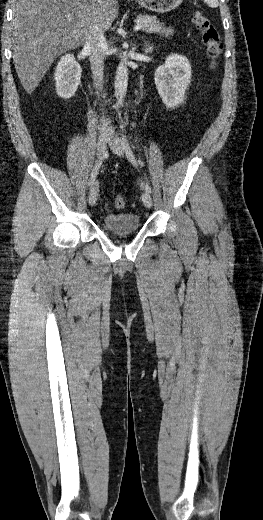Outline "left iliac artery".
I'll list each match as a JSON object with an SVG mask.
<instances>
[{"label": "left iliac artery", "mask_w": 263, "mask_h": 520, "mask_svg": "<svg viewBox=\"0 0 263 520\" xmlns=\"http://www.w3.org/2000/svg\"><path fill=\"white\" fill-rule=\"evenodd\" d=\"M122 140H123L124 149H125L127 158L133 164V166H135L137 168V162H136L135 156L133 154V151L131 150L129 142L126 138V135H123ZM144 189L146 192L151 193V187L148 185V183L144 184Z\"/></svg>", "instance_id": "left-iliac-artery-1"}]
</instances>
